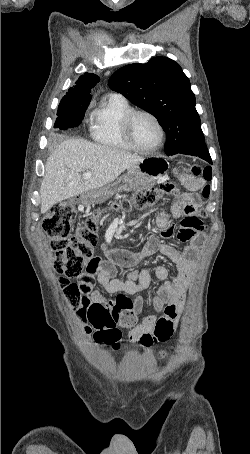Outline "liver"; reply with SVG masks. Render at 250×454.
Here are the masks:
<instances>
[{
  "mask_svg": "<svg viewBox=\"0 0 250 454\" xmlns=\"http://www.w3.org/2000/svg\"><path fill=\"white\" fill-rule=\"evenodd\" d=\"M143 160V157L83 139L63 141L45 165L40 189L41 213L65 199L112 183L126 169ZM84 171H90L91 178L82 180Z\"/></svg>",
  "mask_w": 250,
  "mask_h": 454,
  "instance_id": "obj_1",
  "label": "liver"
}]
</instances>
